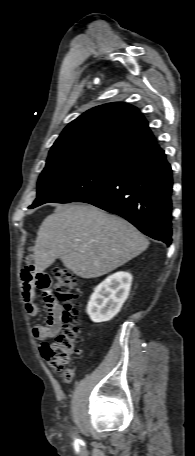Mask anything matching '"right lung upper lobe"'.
<instances>
[{
    "instance_id": "cb5924a9",
    "label": "right lung upper lobe",
    "mask_w": 195,
    "mask_h": 456,
    "mask_svg": "<svg viewBox=\"0 0 195 456\" xmlns=\"http://www.w3.org/2000/svg\"><path fill=\"white\" fill-rule=\"evenodd\" d=\"M160 149L138 109L116 102L72 121L52 146L47 163L90 159L124 167Z\"/></svg>"
}]
</instances>
